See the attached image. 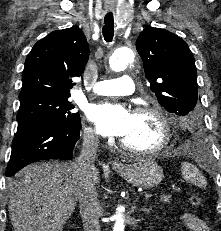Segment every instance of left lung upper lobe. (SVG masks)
Instances as JSON below:
<instances>
[{
	"mask_svg": "<svg viewBox=\"0 0 221 231\" xmlns=\"http://www.w3.org/2000/svg\"><path fill=\"white\" fill-rule=\"evenodd\" d=\"M150 89L170 113L191 116L197 107L195 60L187 43L177 35L147 26L136 41Z\"/></svg>",
	"mask_w": 221,
	"mask_h": 231,
	"instance_id": "left-lung-upper-lobe-1",
	"label": "left lung upper lobe"
}]
</instances>
